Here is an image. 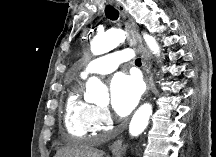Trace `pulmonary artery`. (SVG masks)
<instances>
[{"label": "pulmonary artery", "instance_id": "e3ab8cb5", "mask_svg": "<svg viewBox=\"0 0 216 157\" xmlns=\"http://www.w3.org/2000/svg\"><path fill=\"white\" fill-rule=\"evenodd\" d=\"M130 49H123L110 54L100 56L87 64L81 76L86 78L91 74H107L115 71L118 66L134 57Z\"/></svg>", "mask_w": 216, "mask_h": 157}]
</instances>
